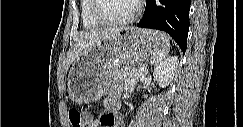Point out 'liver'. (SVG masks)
Instances as JSON below:
<instances>
[{"instance_id": "1", "label": "liver", "mask_w": 243, "mask_h": 127, "mask_svg": "<svg viewBox=\"0 0 243 127\" xmlns=\"http://www.w3.org/2000/svg\"><path fill=\"white\" fill-rule=\"evenodd\" d=\"M123 29L124 28H107L81 32L76 38L74 48L68 52L66 69H68L80 55L87 54L104 39Z\"/></svg>"}]
</instances>
